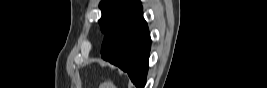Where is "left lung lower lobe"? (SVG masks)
<instances>
[{"label": "left lung lower lobe", "mask_w": 267, "mask_h": 88, "mask_svg": "<svg viewBox=\"0 0 267 88\" xmlns=\"http://www.w3.org/2000/svg\"><path fill=\"white\" fill-rule=\"evenodd\" d=\"M149 51L150 36L140 4L125 14L105 35L101 56L126 71L132 82L138 88H143Z\"/></svg>", "instance_id": "1"}]
</instances>
